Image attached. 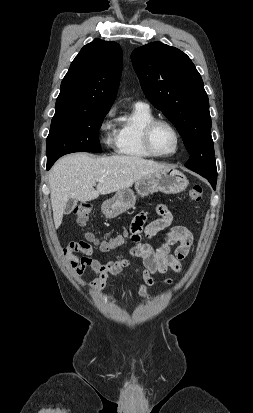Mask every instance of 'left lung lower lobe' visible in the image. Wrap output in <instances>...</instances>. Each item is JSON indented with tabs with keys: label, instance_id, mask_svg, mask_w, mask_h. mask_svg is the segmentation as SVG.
<instances>
[{
	"label": "left lung lower lobe",
	"instance_id": "0a47b994",
	"mask_svg": "<svg viewBox=\"0 0 253 413\" xmlns=\"http://www.w3.org/2000/svg\"><path fill=\"white\" fill-rule=\"evenodd\" d=\"M199 174L205 177L210 182L213 189L216 188L217 175H208V174H203V173H199Z\"/></svg>",
	"mask_w": 253,
	"mask_h": 413
}]
</instances>
